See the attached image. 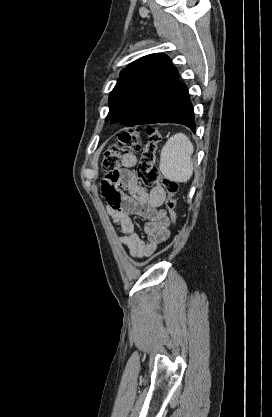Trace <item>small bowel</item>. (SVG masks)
Instances as JSON below:
<instances>
[{"mask_svg": "<svg viewBox=\"0 0 272 417\" xmlns=\"http://www.w3.org/2000/svg\"><path fill=\"white\" fill-rule=\"evenodd\" d=\"M137 158L128 153L122 158L123 168L109 173L102 181V195L107 201L109 215L122 233L119 242L128 249L133 258H143L154 253L158 245L169 237L170 220L167 212L161 208L166 193L158 185L149 191L140 184L136 171ZM128 192L125 194L121 191ZM133 216L146 220L145 239L136 232Z\"/></svg>", "mask_w": 272, "mask_h": 417, "instance_id": "obj_1", "label": "small bowel"}]
</instances>
